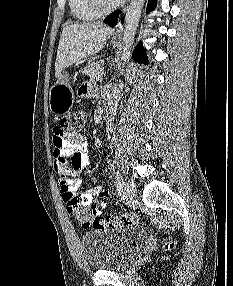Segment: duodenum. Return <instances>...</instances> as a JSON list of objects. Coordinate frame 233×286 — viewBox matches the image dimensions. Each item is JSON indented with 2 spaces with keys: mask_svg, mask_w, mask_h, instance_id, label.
<instances>
[{
  "mask_svg": "<svg viewBox=\"0 0 233 286\" xmlns=\"http://www.w3.org/2000/svg\"><path fill=\"white\" fill-rule=\"evenodd\" d=\"M113 118V107L111 103H108L103 112V119L106 124H110Z\"/></svg>",
  "mask_w": 233,
  "mask_h": 286,
  "instance_id": "410a0bca",
  "label": "duodenum"
}]
</instances>
